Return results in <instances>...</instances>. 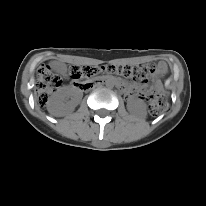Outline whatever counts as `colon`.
<instances>
[{"label": "colon", "mask_w": 206, "mask_h": 206, "mask_svg": "<svg viewBox=\"0 0 206 206\" xmlns=\"http://www.w3.org/2000/svg\"><path fill=\"white\" fill-rule=\"evenodd\" d=\"M106 72L113 74H120L126 78H132L137 80H146L152 70L146 66H140L137 68L131 66H74L70 69V78L75 81H81L90 79L95 75ZM61 79L52 72V69L48 65H41L37 71V93L38 103L45 105L48 101L49 96L54 92L60 85ZM168 107L167 100L160 95L149 96V109L152 114H158L166 110Z\"/></svg>", "instance_id": "obj_1"}]
</instances>
